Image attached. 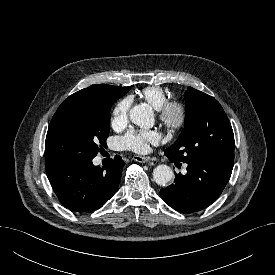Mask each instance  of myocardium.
<instances>
[{
    "label": "myocardium",
    "mask_w": 275,
    "mask_h": 275,
    "mask_svg": "<svg viewBox=\"0 0 275 275\" xmlns=\"http://www.w3.org/2000/svg\"><path fill=\"white\" fill-rule=\"evenodd\" d=\"M157 116L160 123L170 131L183 129L189 119V109L185 102L179 99L167 100L159 109Z\"/></svg>",
    "instance_id": "1"
}]
</instances>
